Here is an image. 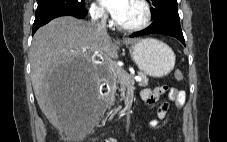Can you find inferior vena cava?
<instances>
[{"label": "inferior vena cava", "instance_id": "1", "mask_svg": "<svg viewBox=\"0 0 227 142\" xmlns=\"http://www.w3.org/2000/svg\"><path fill=\"white\" fill-rule=\"evenodd\" d=\"M91 25L94 26L98 32L107 34L106 18L103 11H95L92 14Z\"/></svg>", "mask_w": 227, "mask_h": 142}]
</instances>
